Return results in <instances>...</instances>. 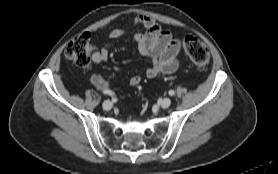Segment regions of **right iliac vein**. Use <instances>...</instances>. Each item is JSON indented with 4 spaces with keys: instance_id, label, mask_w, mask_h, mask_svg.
<instances>
[{
    "instance_id": "63e3f726",
    "label": "right iliac vein",
    "mask_w": 278,
    "mask_h": 174,
    "mask_svg": "<svg viewBox=\"0 0 278 174\" xmlns=\"http://www.w3.org/2000/svg\"><path fill=\"white\" fill-rule=\"evenodd\" d=\"M102 106L104 110L109 111L112 108V103L109 100H105Z\"/></svg>"
}]
</instances>
